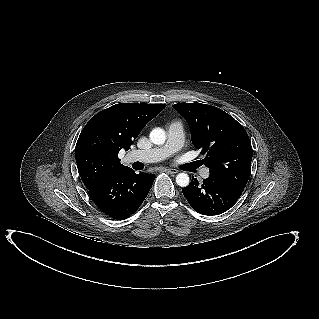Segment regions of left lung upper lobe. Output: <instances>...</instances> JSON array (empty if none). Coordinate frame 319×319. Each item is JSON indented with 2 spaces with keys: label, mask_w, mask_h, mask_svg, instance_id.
Wrapping results in <instances>:
<instances>
[{
  "label": "left lung upper lobe",
  "mask_w": 319,
  "mask_h": 319,
  "mask_svg": "<svg viewBox=\"0 0 319 319\" xmlns=\"http://www.w3.org/2000/svg\"><path fill=\"white\" fill-rule=\"evenodd\" d=\"M173 108L189 123L192 142L210 169V175L240 189L250 174L252 147L243 126L223 110L202 103H178Z\"/></svg>",
  "instance_id": "obj_1"
}]
</instances>
